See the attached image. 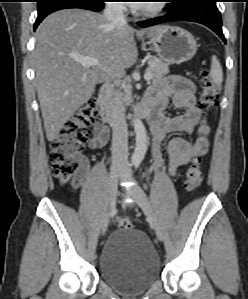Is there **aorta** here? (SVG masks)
<instances>
[{
    "label": "aorta",
    "instance_id": "1",
    "mask_svg": "<svg viewBox=\"0 0 248 299\" xmlns=\"http://www.w3.org/2000/svg\"><path fill=\"white\" fill-rule=\"evenodd\" d=\"M134 132L136 135V147L132 156V160L134 162H141L145 156L148 141L145 126L138 118L134 119Z\"/></svg>",
    "mask_w": 248,
    "mask_h": 299
}]
</instances>
